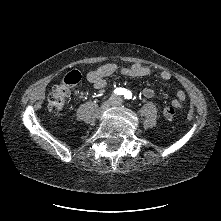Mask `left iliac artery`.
<instances>
[{
    "label": "left iliac artery",
    "mask_w": 221,
    "mask_h": 221,
    "mask_svg": "<svg viewBox=\"0 0 221 221\" xmlns=\"http://www.w3.org/2000/svg\"><path fill=\"white\" fill-rule=\"evenodd\" d=\"M125 98L130 99V98H131V93L126 92V94H125Z\"/></svg>",
    "instance_id": "left-iliac-artery-1"
}]
</instances>
